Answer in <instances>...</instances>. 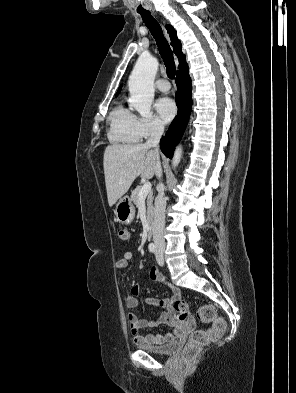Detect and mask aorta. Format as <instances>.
<instances>
[{
	"mask_svg": "<svg viewBox=\"0 0 296 393\" xmlns=\"http://www.w3.org/2000/svg\"><path fill=\"white\" fill-rule=\"evenodd\" d=\"M157 70L158 60L149 54L143 53L138 58L129 77L130 103L143 117L151 115L150 110L154 99V79ZM182 152V147L177 146L172 160L174 168L180 163Z\"/></svg>",
	"mask_w": 296,
	"mask_h": 393,
	"instance_id": "aorta-1",
	"label": "aorta"
}]
</instances>
